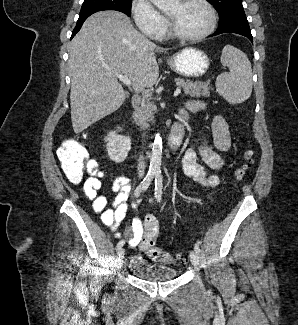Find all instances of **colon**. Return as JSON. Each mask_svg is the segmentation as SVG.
<instances>
[{
	"label": "colon",
	"instance_id": "1",
	"mask_svg": "<svg viewBox=\"0 0 298 325\" xmlns=\"http://www.w3.org/2000/svg\"><path fill=\"white\" fill-rule=\"evenodd\" d=\"M58 157L65 176L72 183L81 182L85 173L89 174L98 168L97 161L88 159L84 146H65L60 149ZM252 158V151H247L245 153V162L236 172L237 179H242L245 176L251 166ZM158 232V220L153 215H147L144 218V230L139 247L153 261L164 264L172 263L175 258L155 244Z\"/></svg>",
	"mask_w": 298,
	"mask_h": 325
}]
</instances>
